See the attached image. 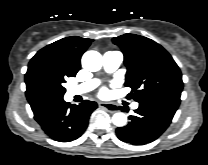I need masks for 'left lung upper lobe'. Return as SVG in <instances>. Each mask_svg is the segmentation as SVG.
I'll return each instance as SVG.
<instances>
[{"label":"left lung upper lobe","instance_id":"left-lung-upper-lobe-1","mask_svg":"<svg viewBox=\"0 0 208 165\" xmlns=\"http://www.w3.org/2000/svg\"><path fill=\"white\" fill-rule=\"evenodd\" d=\"M124 54L127 67L125 86L130 97L142 103L159 97L179 98L183 90L182 74L171 55L153 40L124 34L113 38Z\"/></svg>","mask_w":208,"mask_h":165}]
</instances>
